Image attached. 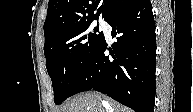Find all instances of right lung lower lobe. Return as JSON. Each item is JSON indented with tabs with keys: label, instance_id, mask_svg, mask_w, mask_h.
Instances as JSON below:
<instances>
[{
	"label": "right lung lower lobe",
	"instance_id": "right-lung-lower-lobe-1",
	"mask_svg": "<svg viewBox=\"0 0 193 112\" xmlns=\"http://www.w3.org/2000/svg\"><path fill=\"white\" fill-rule=\"evenodd\" d=\"M111 58L105 38L74 85L71 96L94 89L136 112H153L156 36L150 0H135L114 16Z\"/></svg>",
	"mask_w": 193,
	"mask_h": 112
}]
</instances>
